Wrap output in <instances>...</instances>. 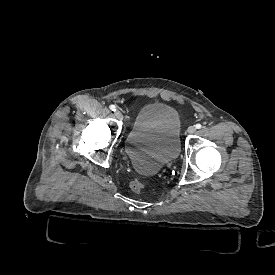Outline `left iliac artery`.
<instances>
[{"label": "left iliac artery", "instance_id": "44dca946", "mask_svg": "<svg viewBox=\"0 0 275 275\" xmlns=\"http://www.w3.org/2000/svg\"><path fill=\"white\" fill-rule=\"evenodd\" d=\"M201 127H202L201 124H196V128H197V129H200Z\"/></svg>", "mask_w": 275, "mask_h": 275}]
</instances>
